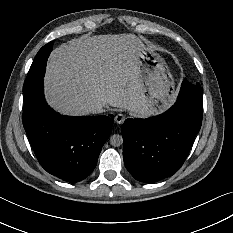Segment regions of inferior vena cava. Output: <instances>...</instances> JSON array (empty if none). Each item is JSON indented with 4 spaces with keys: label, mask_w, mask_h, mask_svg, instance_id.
I'll list each match as a JSON object with an SVG mask.
<instances>
[{
    "label": "inferior vena cava",
    "mask_w": 233,
    "mask_h": 233,
    "mask_svg": "<svg viewBox=\"0 0 233 233\" xmlns=\"http://www.w3.org/2000/svg\"><path fill=\"white\" fill-rule=\"evenodd\" d=\"M103 107L101 102H97L90 107L89 111L90 113H103L105 111Z\"/></svg>",
    "instance_id": "obj_1"
}]
</instances>
